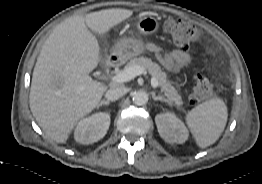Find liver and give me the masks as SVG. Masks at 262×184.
<instances>
[{
	"mask_svg": "<svg viewBox=\"0 0 262 184\" xmlns=\"http://www.w3.org/2000/svg\"><path fill=\"white\" fill-rule=\"evenodd\" d=\"M127 9H106L61 22L45 41L34 67L29 95L38 125L57 143H66L77 122L96 108L107 90L89 73L98 66L99 44ZM91 30H89V29Z\"/></svg>",
	"mask_w": 262,
	"mask_h": 184,
	"instance_id": "6515ba94",
	"label": "liver"
}]
</instances>
